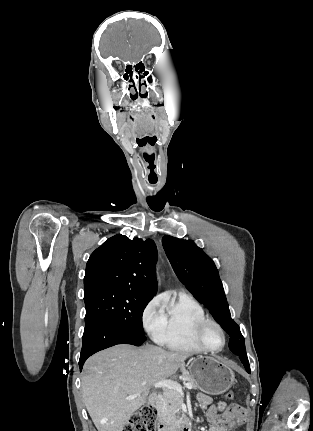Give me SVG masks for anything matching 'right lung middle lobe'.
Segmentation results:
<instances>
[{
    "mask_svg": "<svg viewBox=\"0 0 313 431\" xmlns=\"http://www.w3.org/2000/svg\"><path fill=\"white\" fill-rule=\"evenodd\" d=\"M151 299L128 289H108L85 296V327L110 321L144 336L142 314Z\"/></svg>",
    "mask_w": 313,
    "mask_h": 431,
    "instance_id": "dd1d6c3e",
    "label": "right lung middle lobe"
}]
</instances>
